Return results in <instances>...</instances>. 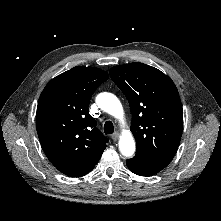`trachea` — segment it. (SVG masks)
Here are the masks:
<instances>
[{
	"label": "trachea",
	"mask_w": 221,
	"mask_h": 221,
	"mask_svg": "<svg viewBox=\"0 0 221 221\" xmlns=\"http://www.w3.org/2000/svg\"><path fill=\"white\" fill-rule=\"evenodd\" d=\"M114 131V126L111 121H106L104 124V132L105 134H112Z\"/></svg>",
	"instance_id": "3493384b"
}]
</instances>
